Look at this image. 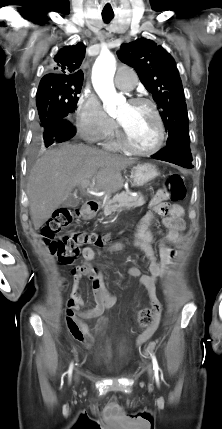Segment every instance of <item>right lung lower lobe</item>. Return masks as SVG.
<instances>
[{
    "label": "right lung lower lobe",
    "instance_id": "1",
    "mask_svg": "<svg viewBox=\"0 0 222 429\" xmlns=\"http://www.w3.org/2000/svg\"><path fill=\"white\" fill-rule=\"evenodd\" d=\"M76 129L71 125L69 119H61L44 129L43 139L46 147L53 143H61L71 139Z\"/></svg>",
    "mask_w": 222,
    "mask_h": 429
}]
</instances>
